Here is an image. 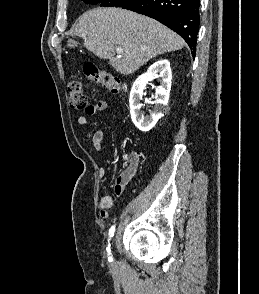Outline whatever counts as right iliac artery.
Instances as JSON below:
<instances>
[{
    "mask_svg": "<svg viewBox=\"0 0 259 294\" xmlns=\"http://www.w3.org/2000/svg\"><path fill=\"white\" fill-rule=\"evenodd\" d=\"M114 233H115V226H112L111 228H110V230H109V240L113 237V235H114ZM108 240V241H109ZM106 250H107V252H108V255H110L111 253H110V243H109V245H108V247L106 248ZM108 260L109 261H113V259H112V257L110 256V257H108Z\"/></svg>",
    "mask_w": 259,
    "mask_h": 294,
    "instance_id": "1",
    "label": "right iliac artery"
}]
</instances>
